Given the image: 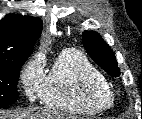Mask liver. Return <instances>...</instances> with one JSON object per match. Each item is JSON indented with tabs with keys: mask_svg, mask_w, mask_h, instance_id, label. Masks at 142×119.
I'll use <instances>...</instances> for the list:
<instances>
[{
	"mask_svg": "<svg viewBox=\"0 0 142 119\" xmlns=\"http://www.w3.org/2000/svg\"><path fill=\"white\" fill-rule=\"evenodd\" d=\"M69 116H65L61 113L50 110H36L28 109L13 114H6L0 111V119H69Z\"/></svg>",
	"mask_w": 142,
	"mask_h": 119,
	"instance_id": "liver-1",
	"label": "liver"
}]
</instances>
